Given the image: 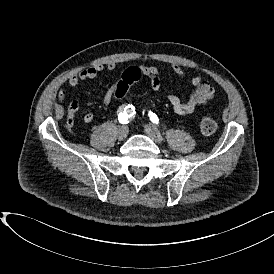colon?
Instances as JSON below:
<instances>
[{"label":"colon","instance_id":"5ec220e1","mask_svg":"<svg viewBox=\"0 0 274 274\" xmlns=\"http://www.w3.org/2000/svg\"><path fill=\"white\" fill-rule=\"evenodd\" d=\"M142 77V71L138 67L130 66L123 71L121 79L116 83L114 94L118 98H123L127 94V89L133 87ZM67 125L73 124V113L70 112L67 118ZM200 130L203 135H211L216 130V122L213 118L205 117L200 121Z\"/></svg>","mask_w":274,"mask_h":274}]
</instances>
